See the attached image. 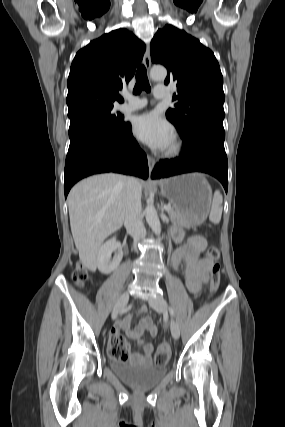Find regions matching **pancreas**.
Instances as JSON below:
<instances>
[{
	"instance_id": "1",
	"label": "pancreas",
	"mask_w": 285,
	"mask_h": 427,
	"mask_svg": "<svg viewBox=\"0 0 285 427\" xmlns=\"http://www.w3.org/2000/svg\"><path fill=\"white\" fill-rule=\"evenodd\" d=\"M168 214H169L170 219L173 223L190 227V225H187L185 223V220H184L183 216L181 215V213L178 210H176L175 208H171V210L168 211Z\"/></svg>"
}]
</instances>
